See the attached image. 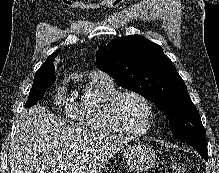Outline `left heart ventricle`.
<instances>
[{"label": "left heart ventricle", "mask_w": 219, "mask_h": 173, "mask_svg": "<svg viewBox=\"0 0 219 173\" xmlns=\"http://www.w3.org/2000/svg\"><path fill=\"white\" fill-rule=\"evenodd\" d=\"M118 117L124 128L130 131H140L146 125L148 111L137 97L125 96L119 103Z\"/></svg>", "instance_id": "obj_1"}]
</instances>
